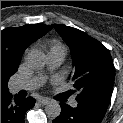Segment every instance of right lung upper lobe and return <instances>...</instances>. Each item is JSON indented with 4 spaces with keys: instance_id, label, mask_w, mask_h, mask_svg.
Here are the masks:
<instances>
[{
    "instance_id": "1",
    "label": "right lung upper lobe",
    "mask_w": 123,
    "mask_h": 123,
    "mask_svg": "<svg viewBox=\"0 0 123 123\" xmlns=\"http://www.w3.org/2000/svg\"><path fill=\"white\" fill-rule=\"evenodd\" d=\"M51 29L45 24H29L1 31V96L9 94L8 80L18 70L24 50Z\"/></svg>"
}]
</instances>
